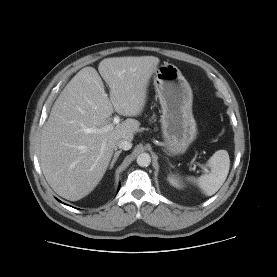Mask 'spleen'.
Instances as JSON below:
<instances>
[{
  "label": "spleen",
  "mask_w": 277,
  "mask_h": 277,
  "mask_svg": "<svg viewBox=\"0 0 277 277\" xmlns=\"http://www.w3.org/2000/svg\"><path fill=\"white\" fill-rule=\"evenodd\" d=\"M211 171L195 179L188 180L196 183L207 196L215 194L225 182L230 168L229 154L226 150L216 151L208 160Z\"/></svg>",
  "instance_id": "obj_1"
}]
</instances>
